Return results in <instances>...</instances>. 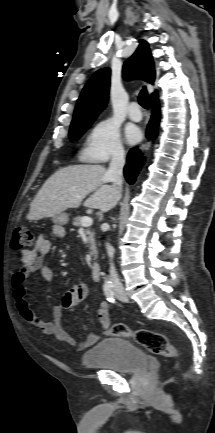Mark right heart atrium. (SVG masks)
<instances>
[{"instance_id":"right-heart-atrium-1","label":"right heart atrium","mask_w":215,"mask_h":433,"mask_svg":"<svg viewBox=\"0 0 215 433\" xmlns=\"http://www.w3.org/2000/svg\"><path fill=\"white\" fill-rule=\"evenodd\" d=\"M123 154L124 146L118 124L111 118H104L90 129L81 156L87 162L104 163L120 158Z\"/></svg>"}]
</instances>
